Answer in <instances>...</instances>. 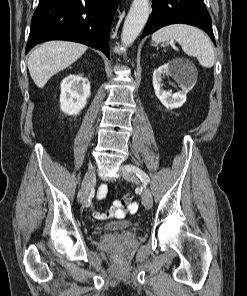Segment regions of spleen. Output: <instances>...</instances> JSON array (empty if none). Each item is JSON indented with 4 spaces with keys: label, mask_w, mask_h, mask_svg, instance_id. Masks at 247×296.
<instances>
[{
    "label": "spleen",
    "mask_w": 247,
    "mask_h": 296,
    "mask_svg": "<svg viewBox=\"0 0 247 296\" xmlns=\"http://www.w3.org/2000/svg\"><path fill=\"white\" fill-rule=\"evenodd\" d=\"M152 40L157 43L175 40L187 55L196 56L203 67L211 68L214 65L215 54L212 43L196 27L185 24L168 25L153 33Z\"/></svg>",
    "instance_id": "1"
}]
</instances>
